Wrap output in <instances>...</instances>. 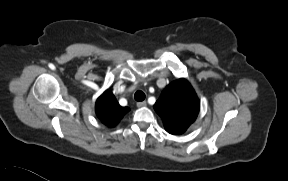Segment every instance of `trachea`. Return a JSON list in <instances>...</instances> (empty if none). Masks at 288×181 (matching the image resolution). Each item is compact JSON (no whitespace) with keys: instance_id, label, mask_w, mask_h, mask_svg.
<instances>
[{"instance_id":"obj_1","label":"trachea","mask_w":288,"mask_h":181,"mask_svg":"<svg viewBox=\"0 0 288 181\" xmlns=\"http://www.w3.org/2000/svg\"><path fill=\"white\" fill-rule=\"evenodd\" d=\"M134 98L136 101H143L145 99V93L141 90H138L135 95H134Z\"/></svg>"}]
</instances>
